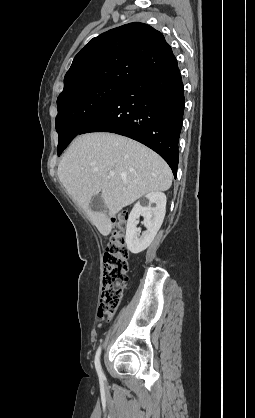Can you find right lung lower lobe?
<instances>
[{
  "mask_svg": "<svg viewBox=\"0 0 255 418\" xmlns=\"http://www.w3.org/2000/svg\"><path fill=\"white\" fill-rule=\"evenodd\" d=\"M184 87L177 63L128 84L79 134L112 132L157 152L176 177Z\"/></svg>",
  "mask_w": 255,
  "mask_h": 418,
  "instance_id": "right-lung-lower-lobe-1",
  "label": "right lung lower lobe"
}]
</instances>
